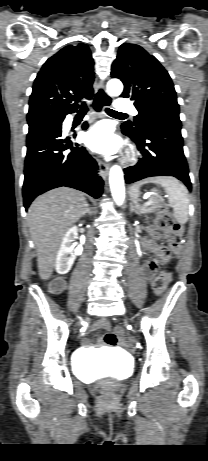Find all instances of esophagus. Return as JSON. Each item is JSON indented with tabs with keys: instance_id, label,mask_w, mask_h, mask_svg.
I'll use <instances>...</instances> for the list:
<instances>
[{
	"instance_id": "1",
	"label": "esophagus",
	"mask_w": 208,
	"mask_h": 461,
	"mask_svg": "<svg viewBox=\"0 0 208 461\" xmlns=\"http://www.w3.org/2000/svg\"><path fill=\"white\" fill-rule=\"evenodd\" d=\"M101 88L103 89V92L110 98V96L108 95V93H107V91L105 89L104 84L101 85ZM110 102H111V99H110ZM109 104H106L104 102L96 101V97H95L93 106H94V109L97 112V114L102 115L103 111H104V108ZM108 172H109V164L104 163L102 161H99V174H100V176H102L103 178H106Z\"/></svg>"
}]
</instances>
